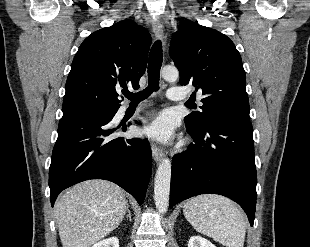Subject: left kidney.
<instances>
[{
	"instance_id": "obj_1",
	"label": "left kidney",
	"mask_w": 310,
	"mask_h": 247,
	"mask_svg": "<svg viewBox=\"0 0 310 247\" xmlns=\"http://www.w3.org/2000/svg\"><path fill=\"white\" fill-rule=\"evenodd\" d=\"M188 247H216L210 241L201 236H192L188 242Z\"/></svg>"
}]
</instances>
